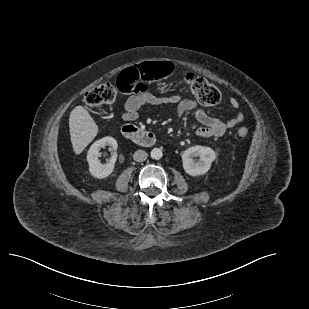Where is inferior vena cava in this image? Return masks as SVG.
<instances>
[{
  "instance_id": "obj_1",
  "label": "inferior vena cava",
  "mask_w": 309,
  "mask_h": 309,
  "mask_svg": "<svg viewBox=\"0 0 309 309\" xmlns=\"http://www.w3.org/2000/svg\"><path fill=\"white\" fill-rule=\"evenodd\" d=\"M147 157H148L147 152L143 150H137L133 155V159L137 162L145 161Z\"/></svg>"
}]
</instances>
